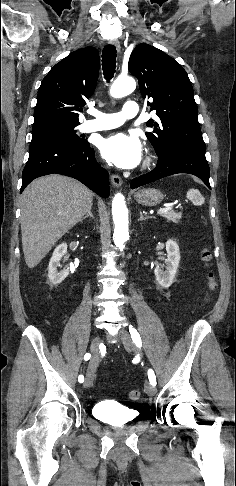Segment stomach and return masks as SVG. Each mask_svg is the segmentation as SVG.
I'll return each mask as SVG.
<instances>
[{"label": "stomach", "mask_w": 236, "mask_h": 486, "mask_svg": "<svg viewBox=\"0 0 236 486\" xmlns=\"http://www.w3.org/2000/svg\"><path fill=\"white\" fill-rule=\"evenodd\" d=\"M135 200L144 206H156L163 201L164 195L155 188L141 189L134 195Z\"/></svg>", "instance_id": "obj_1"}]
</instances>
